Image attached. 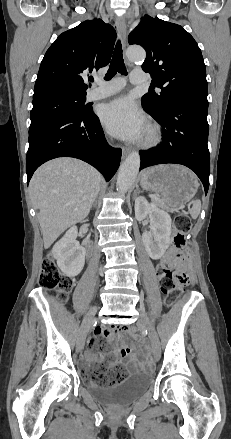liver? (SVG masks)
<instances>
[{
  "mask_svg": "<svg viewBox=\"0 0 231 439\" xmlns=\"http://www.w3.org/2000/svg\"><path fill=\"white\" fill-rule=\"evenodd\" d=\"M101 184L95 168L73 158L51 160L35 171L29 191L34 208L39 209L45 248L87 217Z\"/></svg>",
  "mask_w": 231,
  "mask_h": 439,
  "instance_id": "6515ba94",
  "label": "liver"
}]
</instances>
